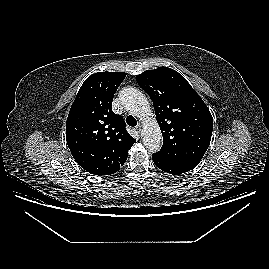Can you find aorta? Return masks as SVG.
I'll return each instance as SVG.
<instances>
[{"instance_id": "1", "label": "aorta", "mask_w": 269, "mask_h": 269, "mask_svg": "<svg viewBox=\"0 0 269 269\" xmlns=\"http://www.w3.org/2000/svg\"><path fill=\"white\" fill-rule=\"evenodd\" d=\"M120 101L126 110L142 120L141 137L144 146L150 152L158 151L161 147L162 134L145 95L136 88L129 87L121 91Z\"/></svg>"}]
</instances>
